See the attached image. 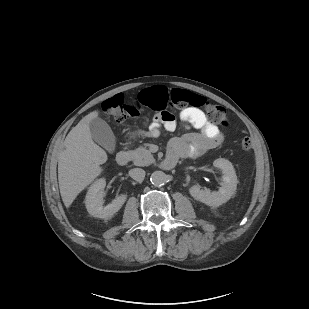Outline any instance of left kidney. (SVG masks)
Here are the masks:
<instances>
[{"label":"left kidney","instance_id":"1","mask_svg":"<svg viewBox=\"0 0 309 309\" xmlns=\"http://www.w3.org/2000/svg\"><path fill=\"white\" fill-rule=\"evenodd\" d=\"M214 167L221 169L222 183L218 191L211 192L209 189H201L199 185H193L189 189L190 195L197 201L208 206L217 207L226 203L237 189V176L232 163L226 159L219 158L213 162Z\"/></svg>","mask_w":309,"mask_h":309}]
</instances>
